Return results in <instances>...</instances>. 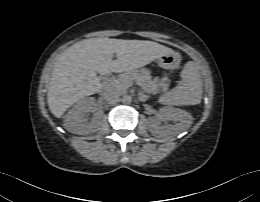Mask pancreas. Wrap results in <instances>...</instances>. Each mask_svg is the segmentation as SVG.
<instances>
[{"mask_svg":"<svg viewBox=\"0 0 260 202\" xmlns=\"http://www.w3.org/2000/svg\"><path fill=\"white\" fill-rule=\"evenodd\" d=\"M134 82L149 94L166 91L168 88V84L164 80L158 82L156 79H152L150 72L146 69L123 73L116 79L106 80L105 85L109 91L125 93Z\"/></svg>","mask_w":260,"mask_h":202,"instance_id":"1","label":"pancreas"}]
</instances>
